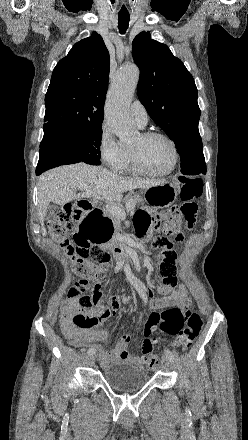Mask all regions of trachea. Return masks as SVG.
<instances>
[{
  "mask_svg": "<svg viewBox=\"0 0 248 440\" xmlns=\"http://www.w3.org/2000/svg\"><path fill=\"white\" fill-rule=\"evenodd\" d=\"M129 20V14H118V28L121 34H125L128 29Z\"/></svg>",
  "mask_w": 248,
  "mask_h": 440,
  "instance_id": "trachea-1",
  "label": "trachea"
}]
</instances>
